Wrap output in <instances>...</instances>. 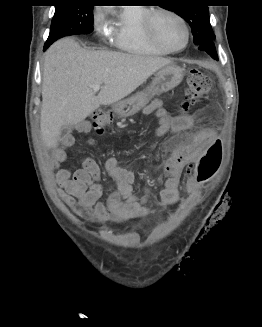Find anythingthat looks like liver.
<instances>
[{
  "instance_id": "6515ba94",
  "label": "liver",
  "mask_w": 262,
  "mask_h": 327,
  "mask_svg": "<svg viewBox=\"0 0 262 327\" xmlns=\"http://www.w3.org/2000/svg\"><path fill=\"white\" fill-rule=\"evenodd\" d=\"M171 59L82 49L63 38L47 50L43 67L41 136L47 148L57 146L62 128L86 119L100 105L131 94ZM102 85L96 95L91 86Z\"/></svg>"
}]
</instances>
